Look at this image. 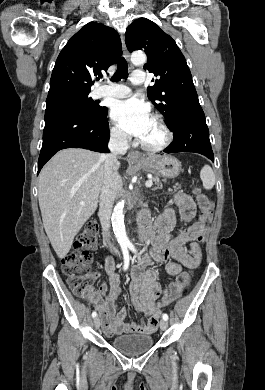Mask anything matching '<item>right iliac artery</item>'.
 <instances>
[{
  "label": "right iliac artery",
  "mask_w": 265,
  "mask_h": 390,
  "mask_svg": "<svg viewBox=\"0 0 265 390\" xmlns=\"http://www.w3.org/2000/svg\"><path fill=\"white\" fill-rule=\"evenodd\" d=\"M122 251H123V256H124V266H123V269L127 270L128 267H129V261H130L129 251H128L127 247H122ZM96 315H97L96 311H93L92 312V317L95 318Z\"/></svg>",
  "instance_id": "obj_1"
}]
</instances>
